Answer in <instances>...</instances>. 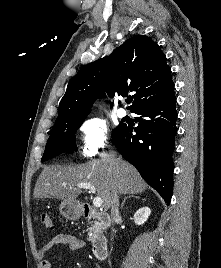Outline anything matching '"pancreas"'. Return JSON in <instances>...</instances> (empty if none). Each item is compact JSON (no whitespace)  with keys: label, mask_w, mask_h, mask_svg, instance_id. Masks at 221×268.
<instances>
[{"label":"pancreas","mask_w":221,"mask_h":268,"mask_svg":"<svg viewBox=\"0 0 221 268\" xmlns=\"http://www.w3.org/2000/svg\"><path fill=\"white\" fill-rule=\"evenodd\" d=\"M101 227H102V225L99 222H95L90 227H88L87 231H88V240L89 241L94 242L96 240V238L101 233Z\"/></svg>","instance_id":"1"}]
</instances>
